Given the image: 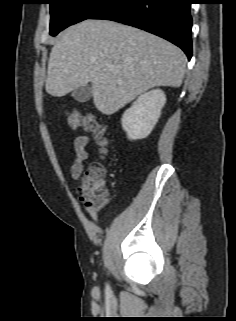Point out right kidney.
<instances>
[{
  "label": "right kidney",
  "mask_w": 236,
  "mask_h": 321,
  "mask_svg": "<svg viewBox=\"0 0 236 321\" xmlns=\"http://www.w3.org/2000/svg\"><path fill=\"white\" fill-rule=\"evenodd\" d=\"M166 103V95L160 89L141 94L122 116V128L130 140L147 137L156 125L161 110Z\"/></svg>",
  "instance_id": "1"
}]
</instances>
